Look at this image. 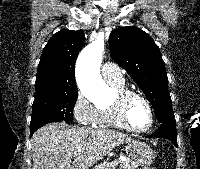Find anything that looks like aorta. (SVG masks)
<instances>
[{
	"mask_svg": "<svg viewBox=\"0 0 200 169\" xmlns=\"http://www.w3.org/2000/svg\"><path fill=\"white\" fill-rule=\"evenodd\" d=\"M103 52L104 40L98 37L81 51L76 64L78 86L81 92L94 103L105 99L110 91L100 75Z\"/></svg>",
	"mask_w": 200,
	"mask_h": 169,
	"instance_id": "1",
	"label": "aorta"
}]
</instances>
